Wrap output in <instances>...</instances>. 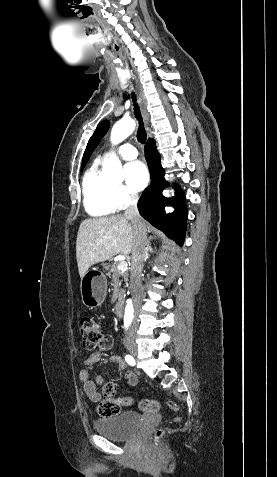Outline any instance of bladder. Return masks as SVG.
I'll return each mask as SVG.
<instances>
[{"label": "bladder", "instance_id": "bladder-1", "mask_svg": "<svg viewBox=\"0 0 277 477\" xmlns=\"http://www.w3.org/2000/svg\"><path fill=\"white\" fill-rule=\"evenodd\" d=\"M141 424L142 416L139 413L124 411L98 418L94 422V428L99 434L108 439L122 441L134 436Z\"/></svg>", "mask_w": 277, "mask_h": 477}]
</instances>
